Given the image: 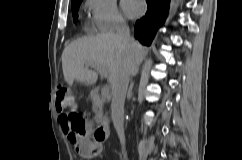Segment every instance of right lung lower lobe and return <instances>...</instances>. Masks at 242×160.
Returning a JSON list of instances; mask_svg holds the SVG:
<instances>
[{
	"label": "right lung lower lobe",
	"instance_id": "right-lung-lower-lobe-1",
	"mask_svg": "<svg viewBox=\"0 0 242 160\" xmlns=\"http://www.w3.org/2000/svg\"><path fill=\"white\" fill-rule=\"evenodd\" d=\"M147 12L135 24V37L144 45L149 46L157 29L167 18L170 0H146Z\"/></svg>",
	"mask_w": 242,
	"mask_h": 160
}]
</instances>
